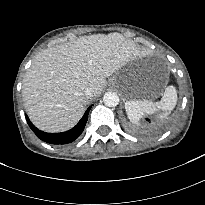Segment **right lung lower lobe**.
<instances>
[{"label":"right lung lower lobe","instance_id":"obj_1","mask_svg":"<svg viewBox=\"0 0 205 205\" xmlns=\"http://www.w3.org/2000/svg\"><path fill=\"white\" fill-rule=\"evenodd\" d=\"M91 109V106L87 109L81 120L78 122V124L73 127L71 130L63 132V133H45L43 131H40L37 129L29 120V118L26 116V120L28 122V125L32 129V131L37 135L38 138L41 140L51 143V144H67L74 140H76L82 131L84 130V127L86 125L88 114Z\"/></svg>","mask_w":205,"mask_h":205}]
</instances>
